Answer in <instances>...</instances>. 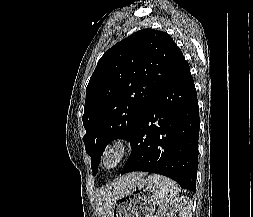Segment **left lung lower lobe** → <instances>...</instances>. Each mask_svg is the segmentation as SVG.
I'll use <instances>...</instances> for the list:
<instances>
[{
    "mask_svg": "<svg viewBox=\"0 0 253 217\" xmlns=\"http://www.w3.org/2000/svg\"><path fill=\"white\" fill-rule=\"evenodd\" d=\"M199 107L189 64L157 93L130 137L132 152L122 174L146 171L196 191Z\"/></svg>",
    "mask_w": 253,
    "mask_h": 217,
    "instance_id": "1",
    "label": "left lung lower lobe"
}]
</instances>
